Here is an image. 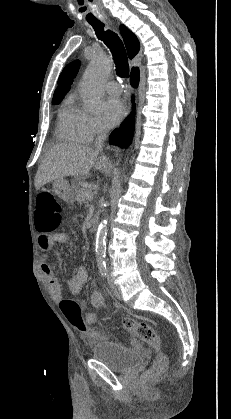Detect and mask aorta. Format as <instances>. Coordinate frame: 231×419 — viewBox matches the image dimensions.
<instances>
[{"label": "aorta", "mask_w": 231, "mask_h": 419, "mask_svg": "<svg viewBox=\"0 0 231 419\" xmlns=\"http://www.w3.org/2000/svg\"><path fill=\"white\" fill-rule=\"evenodd\" d=\"M112 70V61L105 55H97L89 64L81 83V96L89 112H97L103 93V83ZM108 216H105L97 229L95 255L99 266L105 264Z\"/></svg>", "instance_id": "aorta-1"}]
</instances>
